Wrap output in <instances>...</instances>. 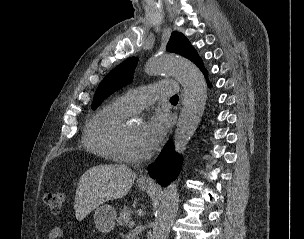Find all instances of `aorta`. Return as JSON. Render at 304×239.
I'll list each match as a JSON object with an SVG mask.
<instances>
[{"label": "aorta", "mask_w": 304, "mask_h": 239, "mask_svg": "<svg viewBox=\"0 0 304 239\" xmlns=\"http://www.w3.org/2000/svg\"><path fill=\"white\" fill-rule=\"evenodd\" d=\"M151 75L176 77L184 88L183 103L174 135L175 151L182 154L194 135L205 110L207 85L199 68L180 56L158 55L147 62ZM178 187L170 184L162 195L153 223L152 239H168L170 228L178 210Z\"/></svg>", "instance_id": "obj_1"}]
</instances>
